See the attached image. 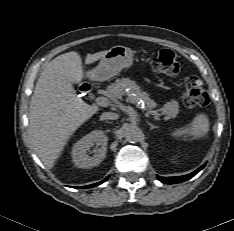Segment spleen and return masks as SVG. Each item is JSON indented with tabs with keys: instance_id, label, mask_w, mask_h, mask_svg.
Returning a JSON list of instances; mask_svg holds the SVG:
<instances>
[{
	"instance_id": "obj_1",
	"label": "spleen",
	"mask_w": 234,
	"mask_h": 231,
	"mask_svg": "<svg viewBox=\"0 0 234 231\" xmlns=\"http://www.w3.org/2000/svg\"><path fill=\"white\" fill-rule=\"evenodd\" d=\"M209 131V120L208 117L201 113L197 114L192 122L185 127L174 130L171 135L176 138H187L192 137L199 139L204 137Z\"/></svg>"
}]
</instances>
